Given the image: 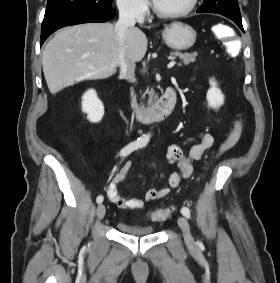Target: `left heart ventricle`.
<instances>
[{
    "label": "left heart ventricle",
    "instance_id": "left-heart-ventricle-1",
    "mask_svg": "<svg viewBox=\"0 0 280 283\" xmlns=\"http://www.w3.org/2000/svg\"><path fill=\"white\" fill-rule=\"evenodd\" d=\"M157 9L164 13H174L185 9L190 0H153Z\"/></svg>",
    "mask_w": 280,
    "mask_h": 283
}]
</instances>
